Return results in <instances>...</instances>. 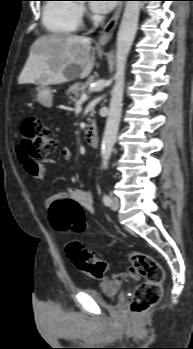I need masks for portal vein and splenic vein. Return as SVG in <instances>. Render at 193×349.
<instances>
[{"label": "portal vein and splenic vein", "instance_id": "18ae733b", "mask_svg": "<svg viewBox=\"0 0 193 349\" xmlns=\"http://www.w3.org/2000/svg\"><path fill=\"white\" fill-rule=\"evenodd\" d=\"M86 100H87V94L83 93V94L80 96L79 100L76 102V104H77V105L82 104V103L85 102Z\"/></svg>", "mask_w": 193, "mask_h": 349}]
</instances>
